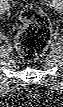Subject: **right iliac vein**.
<instances>
[{
  "label": "right iliac vein",
  "instance_id": "obj_1",
  "mask_svg": "<svg viewBox=\"0 0 63 107\" xmlns=\"http://www.w3.org/2000/svg\"><path fill=\"white\" fill-rule=\"evenodd\" d=\"M9 8V5L7 2H3L0 4V12L4 13Z\"/></svg>",
  "mask_w": 63,
  "mask_h": 107
}]
</instances>
